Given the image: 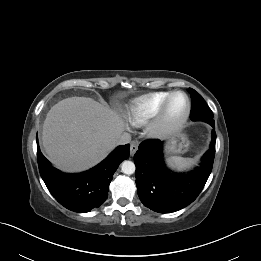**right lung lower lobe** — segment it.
Wrapping results in <instances>:
<instances>
[{
	"label": "right lung lower lobe",
	"mask_w": 261,
	"mask_h": 261,
	"mask_svg": "<svg viewBox=\"0 0 261 261\" xmlns=\"http://www.w3.org/2000/svg\"><path fill=\"white\" fill-rule=\"evenodd\" d=\"M129 147V144L117 147L100 164L86 172L65 174L54 168L37 146L40 175L61 205L74 212H89L98 208L108 197L113 174L119 164L129 157Z\"/></svg>",
	"instance_id": "right-lung-lower-lobe-1"
}]
</instances>
